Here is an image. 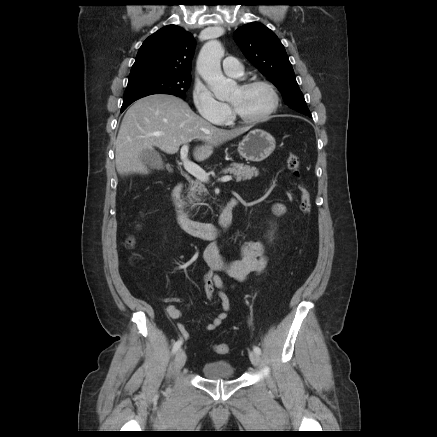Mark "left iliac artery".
<instances>
[{"instance_id": "obj_1", "label": "left iliac artery", "mask_w": 437, "mask_h": 437, "mask_svg": "<svg viewBox=\"0 0 437 437\" xmlns=\"http://www.w3.org/2000/svg\"><path fill=\"white\" fill-rule=\"evenodd\" d=\"M253 350H254L256 353H258V354L261 353V349H260L258 346H254V347H253Z\"/></svg>"}]
</instances>
